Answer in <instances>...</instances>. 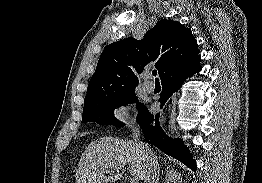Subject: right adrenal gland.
Listing matches in <instances>:
<instances>
[{
  "label": "right adrenal gland",
  "mask_w": 262,
  "mask_h": 183,
  "mask_svg": "<svg viewBox=\"0 0 262 183\" xmlns=\"http://www.w3.org/2000/svg\"><path fill=\"white\" fill-rule=\"evenodd\" d=\"M160 177H161V175H160V166L158 165L156 183H159Z\"/></svg>",
  "instance_id": "1"
}]
</instances>
